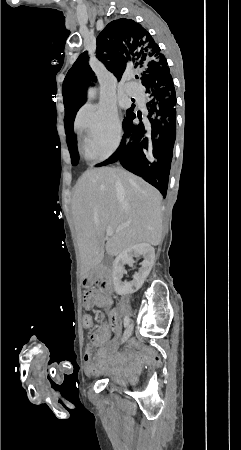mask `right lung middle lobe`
<instances>
[{
	"label": "right lung middle lobe",
	"mask_w": 241,
	"mask_h": 450,
	"mask_svg": "<svg viewBox=\"0 0 241 450\" xmlns=\"http://www.w3.org/2000/svg\"><path fill=\"white\" fill-rule=\"evenodd\" d=\"M89 82L82 76L68 71L63 82V101L65 106V115L69 112H77L78 109L86 102V90ZM134 111L132 106L126 111V116ZM71 163L77 165L79 156L74 148H70Z\"/></svg>",
	"instance_id": "right-lung-middle-lobe-1"
}]
</instances>
